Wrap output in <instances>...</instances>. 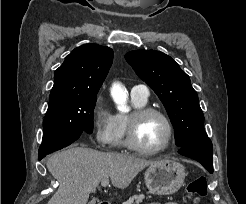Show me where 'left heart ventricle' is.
Here are the masks:
<instances>
[{"label":"left heart ventricle","instance_id":"1","mask_svg":"<svg viewBox=\"0 0 246 204\" xmlns=\"http://www.w3.org/2000/svg\"><path fill=\"white\" fill-rule=\"evenodd\" d=\"M167 133L168 130L164 120L157 115H150L141 121L137 139L143 147L154 149L163 145Z\"/></svg>","mask_w":246,"mask_h":204}]
</instances>
